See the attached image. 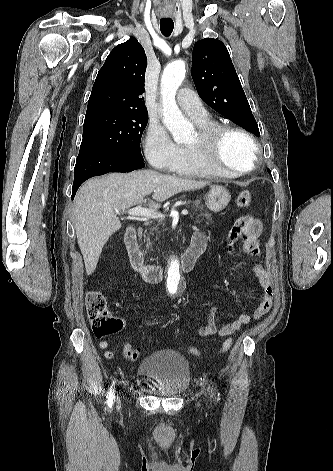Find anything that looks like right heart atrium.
Instances as JSON below:
<instances>
[{
  "instance_id": "right-heart-atrium-1",
  "label": "right heart atrium",
  "mask_w": 333,
  "mask_h": 471,
  "mask_svg": "<svg viewBox=\"0 0 333 471\" xmlns=\"http://www.w3.org/2000/svg\"><path fill=\"white\" fill-rule=\"evenodd\" d=\"M143 148L149 163L161 171H171L181 157V147L158 123H151L148 126L143 140Z\"/></svg>"
}]
</instances>
